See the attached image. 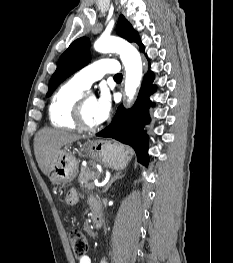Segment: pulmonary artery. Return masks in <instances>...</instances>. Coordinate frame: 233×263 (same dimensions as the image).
Masks as SVG:
<instances>
[{
  "instance_id": "pulmonary-artery-1",
  "label": "pulmonary artery",
  "mask_w": 233,
  "mask_h": 263,
  "mask_svg": "<svg viewBox=\"0 0 233 263\" xmlns=\"http://www.w3.org/2000/svg\"><path fill=\"white\" fill-rule=\"evenodd\" d=\"M119 64L116 60L110 58L100 59L80 71H78L72 80L87 89L94 81L99 80L105 74H118Z\"/></svg>"
}]
</instances>
